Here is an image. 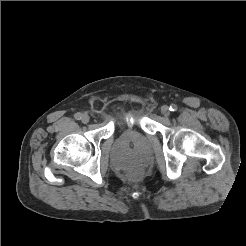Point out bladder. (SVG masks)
Masks as SVG:
<instances>
[{"instance_id":"bladder-1","label":"bladder","mask_w":246,"mask_h":246,"mask_svg":"<svg viewBox=\"0 0 246 246\" xmlns=\"http://www.w3.org/2000/svg\"><path fill=\"white\" fill-rule=\"evenodd\" d=\"M146 160V157L144 156V155H140V156H138L137 158H135L134 159V162L135 163H142V162H144ZM119 164L121 165V166H124L126 163L125 162H119Z\"/></svg>"}]
</instances>
